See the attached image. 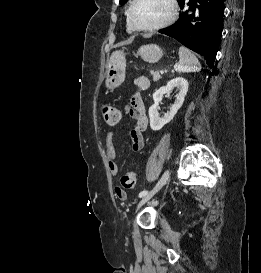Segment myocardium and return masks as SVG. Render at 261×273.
Returning <instances> with one entry per match:
<instances>
[{
  "label": "myocardium",
  "mask_w": 261,
  "mask_h": 273,
  "mask_svg": "<svg viewBox=\"0 0 261 273\" xmlns=\"http://www.w3.org/2000/svg\"><path fill=\"white\" fill-rule=\"evenodd\" d=\"M137 1L138 0H132L130 3V6L128 8V11H127V23L133 31H137V32L158 31V30L164 29V28L172 25L178 16L177 1L176 0H167L168 4L170 6V12H169L168 17L164 21H162L161 23L149 26V27H138L134 24V22L132 20V11H133V8H134L135 4L137 3Z\"/></svg>",
  "instance_id": "f54148a6"
}]
</instances>
